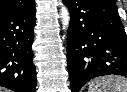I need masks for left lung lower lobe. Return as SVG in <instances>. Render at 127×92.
Instances as JSON below:
<instances>
[{
    "mask_svg": "<svg viewBox=\"0 0 127 92\" xmlns=\"http://www.w3.org/2000/svg\"><path fill=\"white\" fill-rule=\"evenodd\" d=\"M63 2L71 16L67 59L72 92L98 76H127V36L116 5L96 0Z\"/></svg>",
    "mask_w": 127,
    "mask_h": 92,
    "instance_id": "1",
    "label": "left lung lower lobe"
}]
</instances>
